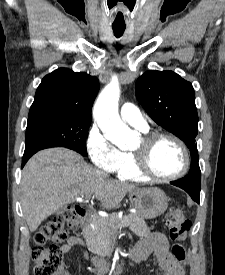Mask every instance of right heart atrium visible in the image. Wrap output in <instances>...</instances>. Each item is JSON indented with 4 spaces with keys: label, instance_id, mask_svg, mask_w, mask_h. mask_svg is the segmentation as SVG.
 I'll return each instance as SVG.
<instances>
[{
    "label": "right heart atrium",
    "instance_id": "d8ad5b80",
    "mask_svg": "<svg viewBox=\"0 0 225 275\" xmlns=\"http://www.w3.org/2000/svg\"><path fill=\"white\" fill-rule=\"evenodd\" d=\"M86 147L94 166L105 172H115L123 161V152L96 126L88 135Z\"/></svg>",
    "mask_w": 225,
    "mask_h": 275
}]
</instances>
